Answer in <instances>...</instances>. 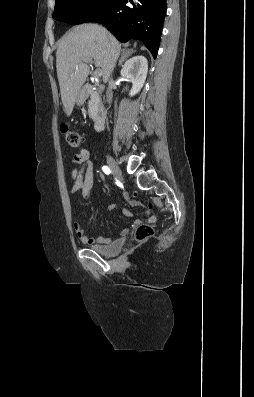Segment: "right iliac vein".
<instances>
[{
	"label": "right iliac vein",
	"mask_w": 254,
	"mask_h": 397,
	"mask_svg": "<svg viewBox=\"0 0 254 397\" xmlns=\"http://www.w3.org/2000/svg\"><path fill=\"white\" fill-rule=\"evenodd\" d=\"M107 163L109 165L110 170L114 174V176L118 179H121L122 172H121L119 166L116 164V162L114 161V159L111 156L107 157Z\"/></svg>",
	"instance_id": "right-iliac-vein-1"
}]
</instances>
